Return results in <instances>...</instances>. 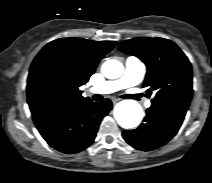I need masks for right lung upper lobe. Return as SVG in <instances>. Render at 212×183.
I'll use <instances>...</instances> for the list:
<instances>
[{
  "mask_svg": "<svg viewBox=\"0 0 212 183\" xmlns=\"http://www.w3.org/2000/svg\"><path fill=\"white\" fill-rule=\"evenodd\" d=\"M116 45L114 41L60 38L48 43L33 60L27 99L32 115L57 105L90 102L79 87L94 73L100 59Z\"/></svg>",
  "mask_w": 212,
  "mask_h": 183,
  "instance_id": "right-lung-upper-lobe-1",
  "label": "right lung upper lobe"
}]
</instances>
